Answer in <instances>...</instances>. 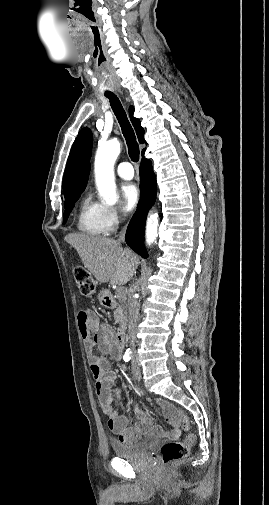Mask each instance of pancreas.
<instances>
[{
	"label": "pancreas",
	"instance_id": "pancreas-1",
	"mask_svg": "<svg viewBox=\"0 0 269 505\" xmlns=\"http://www.w3.org/2000/svg\"><path fill=\"white\" fill-rule=\"evenodd\" d=\"M118 305L114 311V319L116 324H124L126 321V294L123 291L121 294L117 293Z\"/></svg>",
	"mask_w": 269,
	"mask_h": 505
}]
</instances>
